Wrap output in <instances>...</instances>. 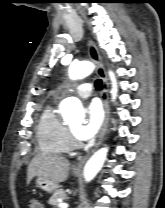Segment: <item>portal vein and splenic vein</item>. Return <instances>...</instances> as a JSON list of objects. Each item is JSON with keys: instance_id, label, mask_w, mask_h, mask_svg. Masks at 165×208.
Here are the masks:
<instances>
[{"instance_id": "obj_1", "label": "portal vein and splenic vein", "mask_w": 165, "mask_h": 208, "mask_svg": "<svg viewBox=\"0 0 165 208\" xmlns=\"http://www.w3.org/2000/svg\"><path fill=\"white\" fill-rule=\"evenodd\" d=\"M59 208H68V204L67 203H60Z\"/></svg>"}]
</instances>
